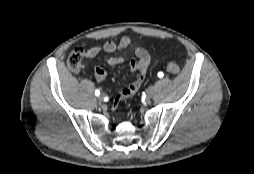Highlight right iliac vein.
I'll return each mask as SVG.
<instances>
[{
  "label": "right iliac vein",
  "mask_w": 254,
  "mask_h": 174,
  "mask_svg": "<svg viewBox=\"0 0 254 174\" xmlns=\"http://www.w3.org/2000/svg\"><path fill=\"white\" fill-rule=\"evenodd\" d=\"M103 99H104V95H103V94H101V95L98 96V100H99V101H103Z\"/></svg>",
  "instance_id": "right-iliac-vein-1"
}]
</instances>
